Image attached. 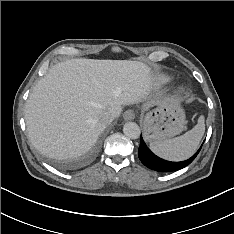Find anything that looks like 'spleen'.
Wrapping results in <instances>:
<instances>
[{
    "label": "spleen",
    "mask_w": 234,
    "mask_h": 234,
    "mask_svg": "<svg viewBox=\"0 0 234 234\" xmlns=\"http://www.w3.org/2000/svg\"><path fill=\"white\" fill-rule=\"evenodd\" d=\"M204 132V117L200 116L197 125L190 131L174 139L151 142L150 148L155 154L166 160H186L197 150Z\"/></svg>",
    "instance_id": "obj_1"
}]
</instances>
